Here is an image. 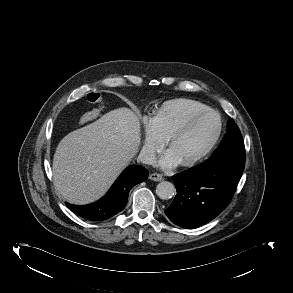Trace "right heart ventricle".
I'll return each mask as SVG.
<instances>
[{
	"mask_svg": "<svg viewBox=\"0 0 293 293\" xmlns=\"http://www.w3.org/2000/svg\"><path fill=\"white\" fill-rule=\"evenodd\" d=\"M209 109L199 101L177 98L164 102L153 114L156 129L167 139L191 115Z\"/></svg>",
	"mask_w": 293,
	"mask_h": 293,
	"instance_id": "obj_1",
	"label": "right heart ventricle"
}]
</instances>
